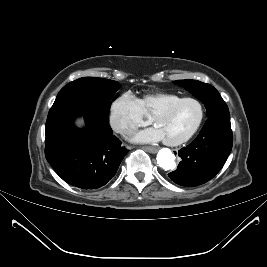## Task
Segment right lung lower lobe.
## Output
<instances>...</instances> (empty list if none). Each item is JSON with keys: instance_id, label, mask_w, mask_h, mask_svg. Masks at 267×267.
Segmentation results:
<instances>
[{"instance_id": "obj_1", "label": "right lung lower lobe", "mask_w": 267, "mask_h": 267, "mask_svg": "<svg viewBox=\"0 0 267 267\" xmlns=\"http://www.w3.org/2000/svg\"><path fill=\"white\" fill-rule=\"evenodd\" d=\"M83 115L84 129L73 120ZM128 150L113 135L109 119L91 111L70 109L46 121L45 156L67 183L82 189H97L116 174Z\"/></svg>"}]
</instances>
